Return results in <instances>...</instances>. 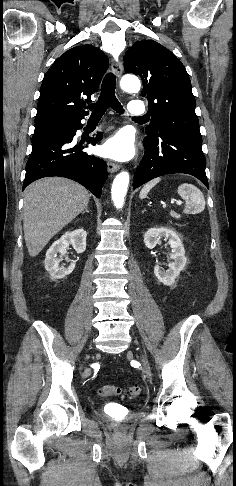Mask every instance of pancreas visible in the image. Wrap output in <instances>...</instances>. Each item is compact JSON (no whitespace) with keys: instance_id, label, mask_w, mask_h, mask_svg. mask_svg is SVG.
<instances>
[{"instance_id":"obj_1","label":"pancreas","mask_w":236,"mask_h":486,"mask_svg":"<svg viewBox=\"0 0 236 486\" xmlns=\"http://www.w3.org/2000/svg\"><path fill=\"white\" fill-rule=\"evenodd\" d=\"M171 216L176 218V219H179L181 217L179 214L174 213V212L171 213Z\"/></svg>"}]
</instances>
